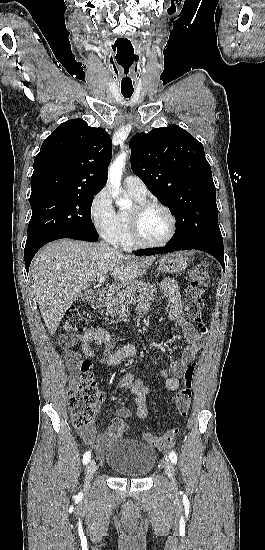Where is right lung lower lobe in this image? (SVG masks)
<instances>
[{"label": "right lung lower lobe", "mask_w": 265, "mask_h": 550, "mask_svg": "<svg viewBox=\"0 0 265 550\" xmlns=\"http://www.w3.org/2000/svg\"><path fill=\"white\" fill-rule=\"evenodd\" d=\"M60 238H71V239L95 242V241L98 240L99 237L88 236V235L79 234V233H64V234H60V235L54 237L51 241H54V240H57V239H60ZM51 241H49V242H51ZM45 244L46 243L41 244V245H39L38 247L34 248L31 251L24 252L25 267H26L27 272L29 271V266H30V263H31L34 255Z\"/></svg>", "instance_id": "obj_1"}]
</instances>
